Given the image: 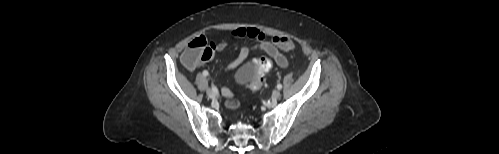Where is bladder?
Listing matches in <instances>:
<instances>
[{"label":"bladder","instance_id":"obj_1","mask_svg":"<svg viewBox=\"0 0 499 154\" xmlns=\"http://www.w3.org/2000/svg\"><path fill=\"white\" fill-rule=\"evenodd\" d=\"M253 79L254 75L252 74V66L250 64L241 67L235 75V81L241 85L247 84Z\"/></svg>","mask_w":499,"mask_h":154}]
</instances>
